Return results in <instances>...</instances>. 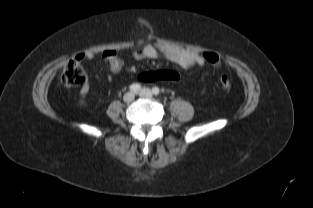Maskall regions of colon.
Here are the masks:
<instances>
[{
  "instance_id": "colon-1",
  "label": "colon",
  "mask_w": 313,
  "mask_h": 208,
  "mask_svg": "<svg viewBox=\"0 0 313 208\" xmlns=\"http://www.w3.org/2000/svg\"><path fill=\"white\" fill-rule=\"evenodd\" d=\"M206 63L219 67L220 58L213 52H204L201 54ZM139 79L144 82H172L177 83L180 76L176 71L172 70H150L142 72ZM62 82L67 87H82L86 83L84 71L79 61H71L64 69L62 75ZM220 85L223 89L228 90L231 87V79L228 75L224 74L220 77Z\"/></svg>"
}]
</instances>
